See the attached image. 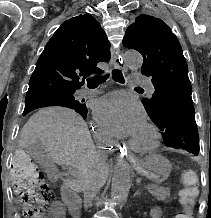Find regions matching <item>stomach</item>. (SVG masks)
Wrapping results in <instances>:
<instances>
[{"mask_svg":"<svg viewBox=\"0 0 211 218\" xmlns=\"http://www.w3.org/2000/svg\"><path fill=\"white\" fill-rule=\"evenodd\" d=\"M136 171L156 183H161L168 178L171 164L161 155H149L137 164Z\"/></svg>","mask_w":211,"mask_h":218,"instance_id":"1","label":"stomach"}]
</instances>
